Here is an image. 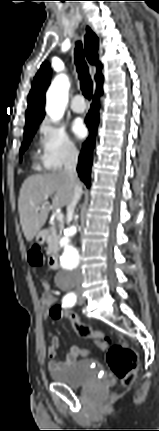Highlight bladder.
<instances>
[{"mask_svg": "<svg viewBox=\"0 0 159 431\" xmlns=\"http://www.w3.org/2000/svg\"><path fill=\"white\" fill-rule=\"evenodd\" d=\"M50 376L57 383L79 388L106 377V371L100 362L85 358L68 367L51 370Z\"/></svg>", "mask_w": 159, "mask_h": 431, "instance_id": "31cf9c89", "label": "bladder"}]
</instances>
